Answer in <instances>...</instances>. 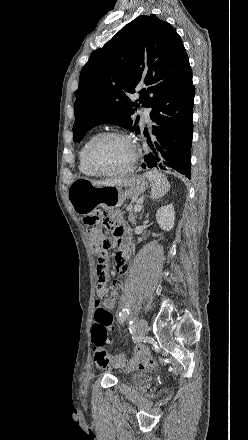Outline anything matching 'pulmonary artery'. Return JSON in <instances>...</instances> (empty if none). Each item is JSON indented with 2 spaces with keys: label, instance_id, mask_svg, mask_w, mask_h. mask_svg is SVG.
<instances>
[{
  "label": "pulmonary artery",
  "instance_id": "e3ab8cb5",
  "mask_svg": "<svg viewBox=\"0 0 248 440\" xmlns=\"http://www.w3.org/2000/svg\"><path fill=\"white\" fill-rule=\"evenodd\" d=\"M145 118L149 119V111L148 110L145 111Z\"/></svg>",
  "mask_w": 248,
  "mask_h": 440
}]
</instances>
